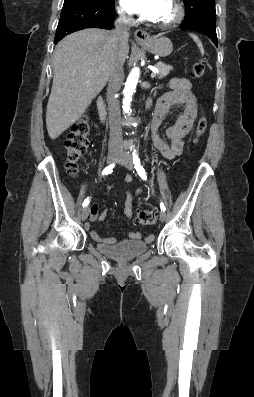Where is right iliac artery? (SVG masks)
<instances>
[{
  "instance_id": "obj_1",
  "label": "right iliac artery",
  "mask_w": 254,
  "mask_h": 397,
  "mask_svg": "<svg viewBox=\"0 0 254 397\" xmlns=\"http://www.w3.org/2000/svg\"><path fill=\"white\" fill-rule=\"evenodd\" d=\"M114 168V164L109 165L108 167H106L103 171H102V175H107L110 174L112 172V169ZM90 202V198L87 197L84 202H83V207H86Z\"/></svg>"
}]
</instances>
